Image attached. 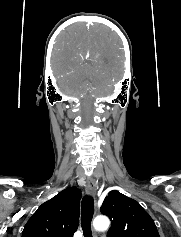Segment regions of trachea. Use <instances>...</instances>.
Wrapping results in <instances>:
<instances>
[{"mask_svg": "<svg viewBox=\"0 0 181 237\" xmlns=\"http://www.w3.org/2000/svg\"><path fill=\"white\" fill-rule=\"evenodd\" d=\"M94 214V201L91 196H85L81 203V226L85 237H92L91 221Z\"/></svg>", "mask_w": 181, "mask_h": 237, "instance_id": "3493384b", "label": "trachea"}]
</instances>
